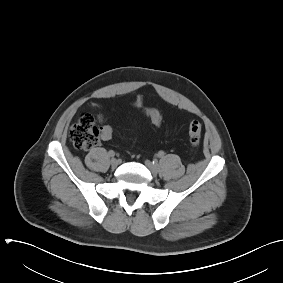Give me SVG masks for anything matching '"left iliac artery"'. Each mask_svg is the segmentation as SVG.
I'll use <instances>...</instances> for the list:
<instances>
[{"instance_id":"44dca946","label":"left iliac artery","mask_w":283,"mask_h":283,"mask_svg":"<svg viewBox=\"0 0 283 283\" xmlns=\"http://www.w3.org/2000/svg\"><path fill=\"white\" fill-rule=\"evenodd\" d=\"M163 156H164V152H163V151H159V152H158V157H159V158H162Z\"/></svg>"}]
</instances>
